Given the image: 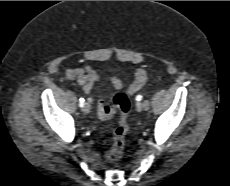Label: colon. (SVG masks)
<instances>
[{
	"mask_svg": "<svg viewBox=\"0 0 230 186\" xmlns=\"http://www.w3.org/2000/svg\"><path fill=\"white\" fill-rule=\"evenodd\" d=\"M146 80V69L138 68L135 72L134 81L127 90L118 89L109 103L101 101L99 104L98 116L102 120L110 119L116 109L120 111L119 125L114 130L112 143L105 154L108 162H115L123 155L125 138L129 130L128 114L131 109L129 94L139 91ZM112 83H117L116 77L112 78Z\"/></svg>",
	"mask_w": 230,
	"mask_h": 186,
	"instance_id": "5ec220e1",
	"label": "colon"
}]
</instances>
